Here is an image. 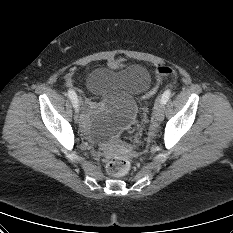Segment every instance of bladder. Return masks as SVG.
<instances>
[{
	"mask_svg": "<svg viewBox=\"0 0 233 233\" xmlns=\"http://www.w3.org/2000/svg\"><path fill=\"white\" fill-rule=\"evenodd\" d=\"M86 86L95 94L121 95L120 100L116 102L101 104V110L93 117L91 113L97 108L95 104L85 115L86 133L94 140L101 141L129 126L136 113V105L131 97L148 92L151 76L148 70L139 64L121 70L97 68L88 74Z\"/></svg>",
	"mask_w": 233,
	"mask_h": 233,
	"instance_id": "1",
	"label": "bladder"
}]
</instances>
